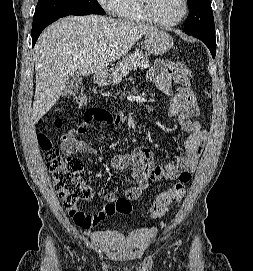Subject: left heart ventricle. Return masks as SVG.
Returning a JSON list of instances; mask_svg holds the SVG:
<instances>
[{
  "instance_id": "b2bd125f",
  "label": "left heart ventricle",
  "mask_w": 253,
  "mask_h": 271,
  "mask_svg": "<svg viewBox=\"0 0 253 271\" xmlns=\"http://www.w3.org/2000/svg\"><path fill=\"white\" fill-rule=\"evenodd\" d=\"M157 18L163 21L176 20L183 11V0H151Z\"/></svg>"
}]
</instances>
